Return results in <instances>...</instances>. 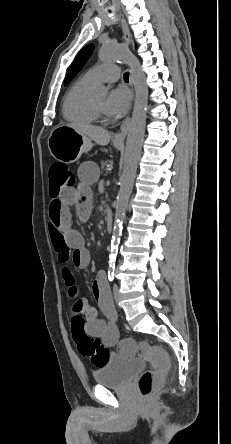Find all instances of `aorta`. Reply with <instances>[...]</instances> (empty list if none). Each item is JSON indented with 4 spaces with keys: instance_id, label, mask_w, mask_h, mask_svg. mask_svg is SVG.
<instances>
[{
    "instance_id": "1",
    "label": "aorta",
    "mask_w": 231,
    "mask_h": 444,
    "mask_svg": "<svg viewBox=\"0 0 231 444\" xmlns=\"http://www.w3.org/2000/svg\"><path fill=\"white\" fill-rule=\"evenodd\" d=\"M99 58L103 62L123 61L132 69L135 88V101L132 119L127 136L123 172L120 178V189L117 195L116 212L111 240L110 262L115 260V250L119 244L126 208L133 189V183L140 157L147 117L148 88L140 62L129 50L120 44L105 42L99 51ZM97 94L105 95L107 89L100 86Z\"/></svg>"
}]
</instances>
